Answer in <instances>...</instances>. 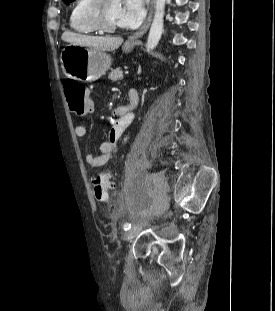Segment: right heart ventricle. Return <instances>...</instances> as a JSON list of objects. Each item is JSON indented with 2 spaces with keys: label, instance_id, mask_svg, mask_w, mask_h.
<instances>
[{
  "label": "right heart ventricle",
  "instance_id": "right-heart-ventricle-1",
  "mask_svg": "<svg viewBox=\"0 0 275 311\" xmlns=\"http://www.w3.org/2000/svg\"><path fill=\"white\" fill-rule=\"evenodd\" d=\"M90 0H75L69 13L70 28L80 34H94L97 30L87 21L84 12Z\"/></svg>",
  "mask_w": 275,
  "mask_h": 311
}]
</instances>
